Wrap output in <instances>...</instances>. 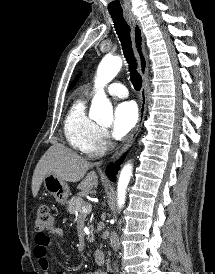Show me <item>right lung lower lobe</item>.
Here are the masks:
<instances>
[{
	"instance_id": "98d812e1",
	"label": "right lung lower lobe",
	"mask_w": 215,
	"mask_h": 274,
	"mask_svg": "<svg viewBox=\"0 0 215 274\" xmlns=\"http://www.w3.org/2000/svg\"><path fill=\"white\" fill-rule=\"evenodd\" d=\"M120 164H121V162L117 161L114 165H110L106 169V174L109 177V179H111L112 181L115 179L117 171L120 168Z\"/></svg>"
}]
</instances>
